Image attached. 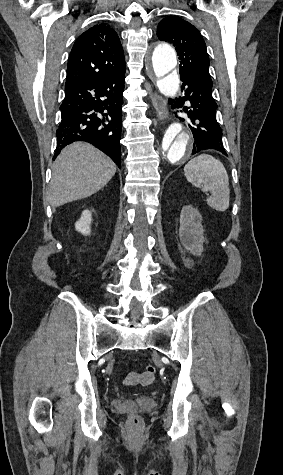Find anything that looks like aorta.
Returning a JSON list of instances; mask_svg holds the SVG:
<instances>
[{"mask_svg":"<svg viewBox=\"0 0 283 475\" xmlns=\"http://www.w3.org/2000/svg\"><path fill=\"white\" fill-rule=\"evenodd\" d=\"M148 65L157 77L160 92L167 97H175L179 89V78L173 73L177 65L175 50L169 44H158ZM193 148L190 131L179 121L165 130L159 144L158 155L163 165H176L186 160Z\"/></svg>","mask_w":283,"mask_h":475,"instance_id":"obj_1","label":"aorta"}]
</instances>
